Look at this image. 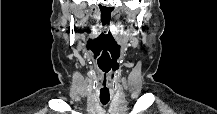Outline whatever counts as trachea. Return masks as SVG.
Returning <instances> with one entry per match:
<instances>
[{"mask_svg":"<svg viewBox=\"0 0 217 114\" xmlns=\"http://www.w3.org/2000/svg\"><path fill=\"white\" fill-rule=\"evenodd\" d=\"M100 101L103 105H106L109 102V99H102L101 98Z\"/></svg>","mask_w":217,"mask_h":114,"instance_id":"3493384b","label":"trachea"}]
</instances>
